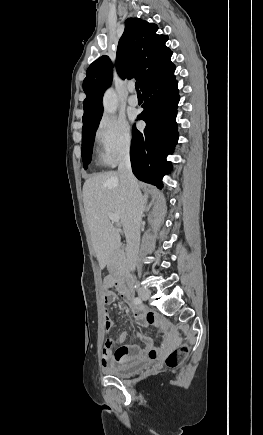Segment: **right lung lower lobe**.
Returning a JSON list of instances; mask_svg holds the SVG:
<instances>
[{"instance_id":"obj_1","label":"right lung lower lobe","mask_w":263,"mask_h":435,"mask_svg":"<svg viewBox=\"0 0 263 435\" xmlns=\"http://www.w3.org/2000/svg\"><path fill=\"white\" fill-rule=\"evenodd\" d=\"M174 70L175 66L170 65L142 89L144 110L137 119L144 120L146 128L140 132L134 127L130 151L134 175L159 188L162 177L172 167L166 157L173 152L178 140L175 118L179 94Z\"/></svg>"}]
</instances>
